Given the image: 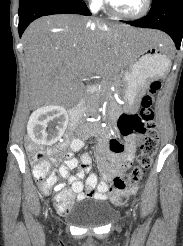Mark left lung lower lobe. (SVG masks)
<instances>
[{"instance_id":"0a47b994","label":"left lung lower lobe","mask_w":183,"mask_h":246,"mask_svg":"<svg viewBox=\"0 0 183 246\" xmlns=\"http://www.w3.org/2000/svg\"><path fill=\"white\" fill-rule=\"evenodd\" d=\"M135 27L166 32L180 48L183 38V0H153L149 13L135 21H124Z\"/></svg>"}]
</instances>
